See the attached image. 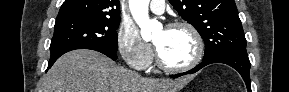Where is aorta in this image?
<instances>
[{"label": "aorta", "instance_id": "762f6f07", "mask_svg": "<svg viewBox=\"0 0 289 92\" xmlns=\"http://www.w3.org/2000/svg\"><path fill=\"white\" fill-rule=\"evenodd\" d=\"M148 6L149 0H129L130 11L141 29L143 39H149L152 32L160 26L158 21L149 18Z\"/></svg>", "mask_w": 289, "mask_h": 92}]
</instances>
